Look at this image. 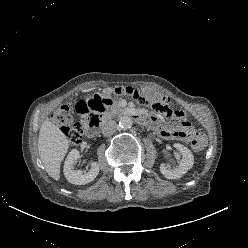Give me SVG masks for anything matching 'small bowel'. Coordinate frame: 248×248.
<instances>
[{"label":"small bowel","mask_w":248,"mask_h":248,"mask_svg":"<svg viewBox=\"0 0 248 248\" xmlns=\"http://www.w3.org/2000/svg\"><path fill=\"white\" fill-rule=\"evenodd\" d=\"M150 125L157 130L159 135L168 140H178V141H189L194 138H203L205 135L199 131H196L190 122L187 120H181L177 127L167 126L160 124L156 118H149Z\"/></svg>","instance_id":"small-bowel-1"}]
</instances>
